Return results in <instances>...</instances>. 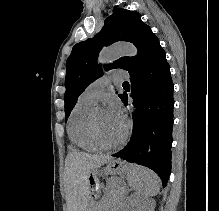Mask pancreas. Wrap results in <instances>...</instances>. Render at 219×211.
I'll list each match as a JSON object with an SVG mask.
<instances>
[{"mask_svg":"<svg viewBox=\"0 0 219 211\" xmlns=\"http://www.w3.org/2000/svg\"><path fill=\"white\" fill-rule=\"evenodd\" d=\"M126 186L106 187L109 189V195L99 202L94 201L92 211H121L120 203L125 200V193H123Z\"/></svg>","mask_w":219,"mask_h":211,"instance_id":"cf45deb5","label":"pancreas"}]
</instances>
